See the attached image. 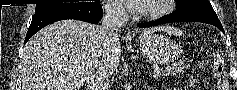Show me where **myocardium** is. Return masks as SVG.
I'll return each mask as SVG.
<instances>
[{
  "label": "myocardium",
  "instance_id": "obj_1",
  "mask_svg": "<svg viewBox=\"0 0 237 90\" xmlns=\"http://www.w3.org/2000/svg\"><path fill=\"white\" fill-rule=\"evenodd\" d=\"M174 0H156L159 6L151 9L145 5L130 6L129 10L132 15L138 16L144 21H155L170 12V6L165 3H173Z\"/></svg>",
  "mask_w": 237,
  "mask_h": 90
}]
</instances>
